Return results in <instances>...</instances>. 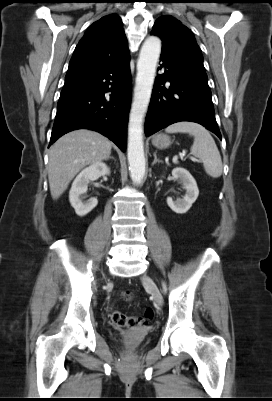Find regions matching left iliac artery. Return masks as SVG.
I'll list each match as a JSON object with an SVG mask.
<instances>
[{
    "instance_id": "1",
    "label": "left iliac artery",
    "mask_w": 272,
    "mask_h": 401,
    "mask_svg": "<svg viewBox=\"0 0 272 401\" xmlns=\"http://www.w3.org/2000/svg\"><path fill=\"white\" fill-rule=\"evenodd\" d=\"M163 287H164V290H166V287H165V285L163 284Z\"/></svg>"
}]
</instances>
